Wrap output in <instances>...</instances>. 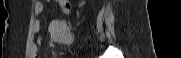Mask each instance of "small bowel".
<instances>
[{"mask_svg":"<svg viewBox=\"0 0 181 58\" xmlns=\"http://www.w3.org/2000/svg\"><path fill=\"white\" fill-rule=\"evenodd\" d=\"M54 2L64 13H69L71 11V4L69 1H67V0H55ZM34 10H35V13L37 15L40 14L43 10V3L41 1H37L35 3ZM39 28H40L39 24L37 23L35 26V30L39 31ZM63 41L65 43H69L71 41L70 35H66L64 37ZM38 51H39V46L36 43H34L31 46V57L32 58H38Z\"/></svg>","mask_w":181,"mask_h":58,"instance_id":"c3829d8e","label":"small bowel"}]
</instances>
